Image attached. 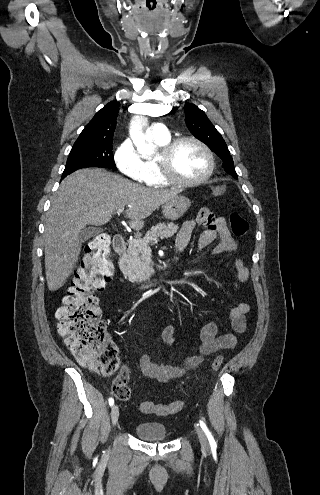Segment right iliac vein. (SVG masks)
<instances>
[{"instance_id":"63e3f726","label":"right iliac vein","mask_w":320,"mask_h":495,"mask_svg":"<svg viewBox=\"0 0 320 495\" xmlns=\"http://www.w3.org/2000/svg\"><path fill=\"white\" fill-rule=\"evenodd\" d=\"M118 418H119V408L117 405H114L111 409V420H112L113 426H115L117 424Z\"/></svg>"}]
</instances>
